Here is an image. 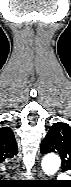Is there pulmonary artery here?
I'll return each instance as SVG.
<instances>
[{"instance_id":"pulmonary-artery-1","label":"pulmonary artery","mask_w":71,"mask_h":187,"mask_svg":"<svg viewBox=\"0 0 71 187\" xmlns=\"http://www.w3.org/2000/svg\"><path fill=\"white\" fill-rule=\"evenodd\" d=\"M60 178H66V176L65 175H61Z\"/></svg>"}]
</instances>
